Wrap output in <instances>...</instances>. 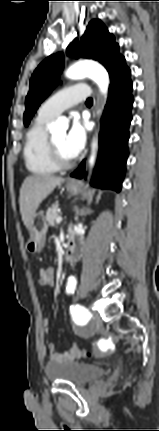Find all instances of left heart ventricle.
I'll return each instance as SVG.
<instances>
[{
	"label": "left heart ventricle",
	"mask_w": 159,
	"mask_h": 431,
	"mask_svg": "<svg viewBox=\"0 0 159 431\" xmlns=\"http://www.w3.org/2000/svg\"><path fill=\"white\" fill-rule=\"evenodd\" d=\"M65 137H66L65 131L57 132L52 135V138L56 146L58 147L61 155L66 159H72L73 157L65 149Z\"/></svg>",
	"instance_id": "1"
}]
</instances>
